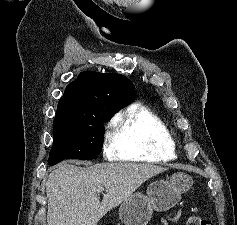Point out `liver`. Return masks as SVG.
Instances as JSON below:
<instances>
[{"instance_id":"6515ba94","label":"liver","mask_w":237,"mask_h":225,"mask_svg":"<svg viewBox=\"0 0 237 225\" xmlns=\"http://www.w3.org/2000/svg\"><path fill=\"white\" fill-rule=\"evenodd\" d=\"M167 171L151 164L102 163L80 167L62 162L46 183L48 225H96L149 178ZM104 186L102 202L98 187Z\"/></svg>"}]
</instances>
